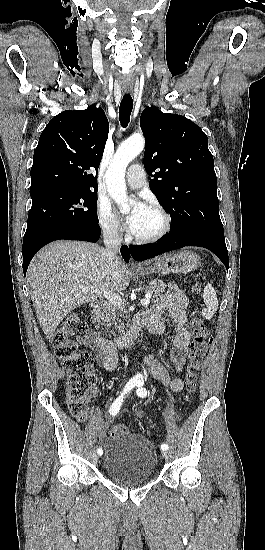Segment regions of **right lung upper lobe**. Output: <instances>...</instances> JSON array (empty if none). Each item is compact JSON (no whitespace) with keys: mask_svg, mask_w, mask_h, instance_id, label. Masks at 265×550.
Here are the masks:
<instances>
[{"mask_svg":"<svg viewBox=\"0 0 265 550\" xmlns=\"http://www.w3.org/2000/svg\"><path fill=\"white\" fill-rule=\"evenodd\" d=\"M109 125L102 108L63 111L42 131L33 155L31 188L97 190Z\"/></svg>","mask_w":265,"mask_h":550,"instance_id":"obj_1","label":"right lung upper lobe"}]
</instances>
